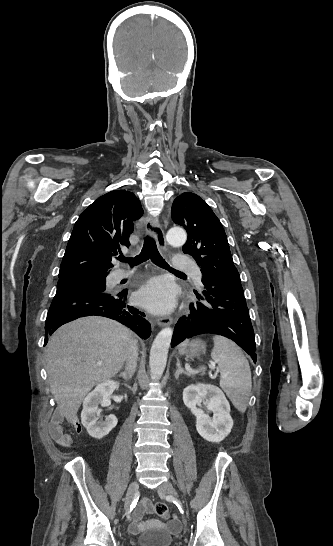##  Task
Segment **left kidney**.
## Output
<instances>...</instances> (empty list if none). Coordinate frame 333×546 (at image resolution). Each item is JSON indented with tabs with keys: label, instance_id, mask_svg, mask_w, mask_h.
<instances>
[{
	"label": "left kidney",
	"instance_id": "1",
	"mask_svg": "<svg viewBox=\"0 0 333 546\" xmlns=\"http://www.w3.org/2000/svg\"><path fill=\"white\" fill-rule=\"evenodd\" d=\"M183 401L195 415L196 429L202 438L220 442L229 435L233 427L230 404L220 388L212 384L190 385L183 391ZM201 403L215 413L213 418L197 407Z\"/></svg>",
	"mask_w": 333,
	"mask_h": 546
}]
</instances>
